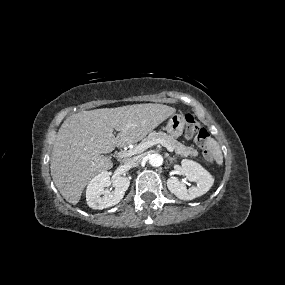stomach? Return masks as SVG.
Returning a JSON list of instances; mask_svg holds the SVG:
<instances>
[{
  "mask_svg": "<svg viewBox=\"0 0 285 285\" xmlns=\"http://www.w3.org/2000/svg\"><path fill=\"white\" fill-rule=\"evenodd\" d=\"M185 126L184 117L181 114H173L166 125V131L173 138H178L182 135Z\"/></svg>",
  "mask_w": 285,
  "mask_h": 285,
  "instance_id": "stomach-1",
  "label": "stomach"
}]
</instances>
